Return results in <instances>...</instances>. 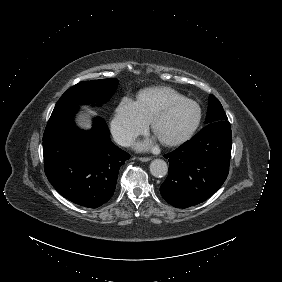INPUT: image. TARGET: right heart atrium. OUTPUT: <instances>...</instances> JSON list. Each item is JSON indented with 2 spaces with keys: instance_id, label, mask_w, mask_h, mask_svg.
Returning a JSON list of instances; mask_svg holds the SVG:
<instances>
[{
  "instance_id": "right-heart-atrium-1",
  "label": "right heart atrium",
  "mask_w": 282,
  "mask_h": 282,
  "mask_svg": "<svg viewBox=\"0 0 282 282\" xmlns=\"http://www.w3.org/2000/svg\"><path fill=\"white\" fill-rule=\"evenodd\" d=\"M150 120L139 103L131 98H124L118 105L111 122L113 136L122 144L131 143L136 136L145 133Z\"/></svg>"
}]
</instances>
